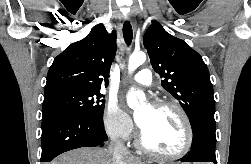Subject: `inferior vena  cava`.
<instances>
[{
  "mask_svg": "<svg viewBox=\"0 0 251 164\" xmlns=\"http://www.w3.org/2000/svg\"><path fill=\"white\" fill-rule=\"evenodd\" d=\"M109 149L113 151V158L116 164H119L122 159L129 154L125 145L116 139H112Z\"/></svg>",
  "mask_w": 251,
  "mask_h": 164,
  "instance_id": "inferior-vena-cava-1",
  "label": "inferior vena cava"
}]
</instances>
